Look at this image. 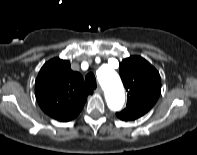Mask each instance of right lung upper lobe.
I'll return each mask as SVG.
<instances>
[{
  "label": "right lung upper lobe",
  "mask_w": 197,
  "mask_h": 155,
  "mask_svg": "<svg viewBox=\"0 0 197 155\" xmlns=\"http://www.w3.org/2000/svg\"><path fill=\"white\" fill-rule=\"evenodd\" d=\"M92 93L81 74L71 70L69 61L59 58L45 63L35 81L36 99L41 109L62 122L74 119Z\"/></svg>",
  "instance_id": "right-lung-upper-lobe-1"
}]
</instances>
